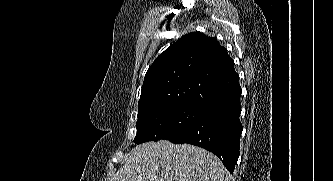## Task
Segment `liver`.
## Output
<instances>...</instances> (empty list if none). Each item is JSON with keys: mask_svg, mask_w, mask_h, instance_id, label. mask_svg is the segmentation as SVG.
Returning <instances> with one entry per match:
<instances>
[{"mask_svg": "<svg viewBox=\"0 0 333 181\" xmlns=\"http://www.w3.org/2000/svg\"><path fill=\"white\" fill-rule=\"evenodd\" d=\"M225 172L221 160L203 148L160 140L133 148L110 181H223Z\"/></svg>", "mask_w": 333, "mask_h": 181, "instance_id": "1", "label": "liver"}]
</instances>
